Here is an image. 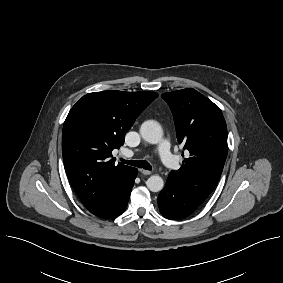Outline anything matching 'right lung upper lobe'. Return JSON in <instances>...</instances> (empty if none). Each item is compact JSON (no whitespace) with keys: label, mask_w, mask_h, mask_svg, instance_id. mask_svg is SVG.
I'll return each instance as SVG.
<instances>
[{"label":"right lung upper lobe","mask_w":283,"mask_h":283,"mask_svg":"<svg viewBox=\"0 0 283 283\" xmlns=\"http://www.w3.org/2000/svg\"><path fill=\"white\" fill-rule=\"evenodd\" d=\"M157 97L150 91L89 93L70 110L62 133L64 167L91 213L106 208L135 169L116 165L112 150L123 145L135 119Z\"/></svg>","instance_id":"cb5924a9"}]
</instances>
